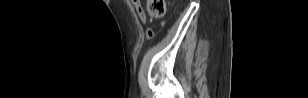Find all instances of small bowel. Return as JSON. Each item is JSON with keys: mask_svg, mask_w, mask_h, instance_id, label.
<instances>
[{"mask_svg": "<svg viewBox=\"0 0 308 98\" xmlns=\"http://www.w3.org/2000/svg\"><path fill=\"white\" fill-rule=\"evenodd\" d=\"M132 4L137 12V15L140 19V21L145 24L147 22V16H146V13H145V10L141 4V1L140 0H133L132 1ZM149 31H152V30H149ZM148 31V33H149ZM153 32V31H152Z\"/></svg>", "mask_w": 308, "mask_h": 98, "instance_id": "c3829d8e", "label": "small bowel"}]
</instances>
